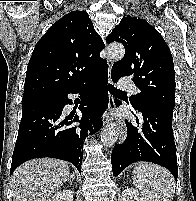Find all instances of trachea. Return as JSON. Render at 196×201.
Here are the masks:
<instances>
[{"label":"trachea","mask_w":196,"mask_h":201,"mask_svg":"<svg viewBox=\"0 0 196 201\" xmlns=\"http://www.w3.org/2000/svg\"><path fill=\"white\" fill-rule=\"evenodd\" d=\"M108 89L110 91L111 94H120V93H125L117 88H115L113 85L109 84L108 85Z\"/></svg>","instance_id":"obj_1"}]
</instances>
